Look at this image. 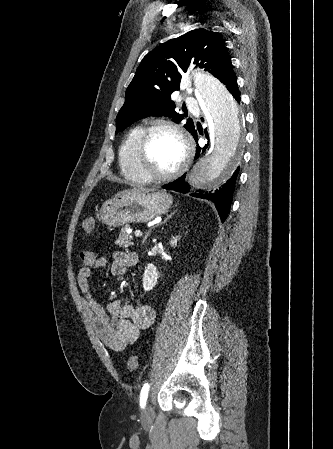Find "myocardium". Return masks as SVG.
I'll return each instance as SVG.
<instances>
[{
    "instance_id": "f54148a6",
    "label": "myocardium",
    "mask_w": 333,
    "mask_h": 449,
    "mask_svg": "<svg viewBox=\"0 0 333 449\" xmlns=\"http://www.w3.org/2000/svg\"><path fill=\"white\" fill-rule=\"evenodd\" d=\"M168 131L176 135L184 149V157L179 166L173 171L165 174H156L148 170L145 166V158L147 154L148 142L152 134L156 131ZM193 157V148L191 142L189 141L187 135L178 126L166 122V121H155L148 126L144 127L135 146V162L138 172L148 181V182H168L178 178L182 173H184L189 165L191 164Z\"/></svg>"
}]
</instances>
